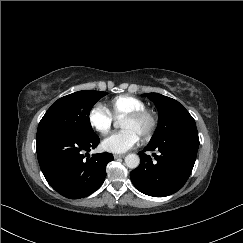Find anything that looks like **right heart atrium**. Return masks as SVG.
I'll use <instances>...</instances> for the list:
<instances>
[{"label":"right heart atrium","instance_id":"d8ad5b80","mask_svg":"<svg viewBox=\"0 0 243 243\" xmlns=\"http://www.w3.org/2000/svg\"><path fill=\"white\" fill-rule=\"evenodd\" d=\"M87 119L89 125L102 134H105L110 130L114 121L109 110L100 104H95L90 108Z\"/></svg>","mask_w":243,"mask_h":243}]
</instances>
